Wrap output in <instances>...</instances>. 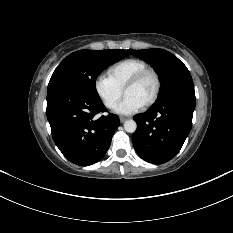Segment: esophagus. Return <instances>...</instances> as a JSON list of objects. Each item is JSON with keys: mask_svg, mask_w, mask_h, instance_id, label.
Returning <instances> with one entry per match:
<instances>
[{"mask_svg": "<svg viewBox=\"0 0 233 233\" xmlns=\"http://www.w3.org/2000/svg\"><path fill=\"white\" fill-rule=\"evenodd\" d=\"M119 120H120V122H121V123H123V122H125V121L127 120V118H126V117L121 116V117L119 118Z\"/></svg>", "mask_w": 233, "mask_h": 233, "instance_id": "obj_1", "label": "esophagus"}]
</instances>
